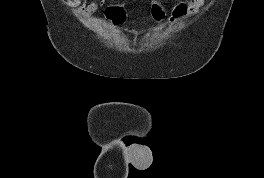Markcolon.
<instances>
[{
	"mask_svg": "<svg viewBox=\"0 0 264 178\" xmlns=\"http://www.w3.org/2000/svg\"><path fill=\"white\" fill-rule=\"evenodd\" d=\"M104 15L107 21L113 26L123 25L128 17L125 7L121 4H110L104 10ZM167 15L165 7L159 2L155 1L152 3L149 18L153 23L162 22Z\"/></svg>",
	"mask_w": 264,
	"mask_h": 178,
	"instance_id": "1",
	"label": "colon"
}]
</instances>
